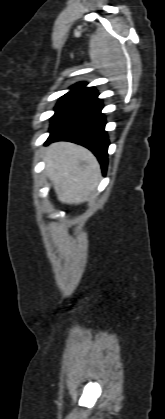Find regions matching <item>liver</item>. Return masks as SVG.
<instances>
[{"mask_svg":"<svg viewBox=\"0 0 165 419\" xmlns=\"http://www.w3.org/2000/svg\"><path fill=\"white\" fill-rule=\"evenodd\" d=\"M44 160L45 171L60 202L80 204L94 197L101 169L88 149L70 142H57L45 150Z\"/></svg>","mask_w":165,"mask_h":419,"instance_id":"6515ba94","label":"liver"}]
</instances>
